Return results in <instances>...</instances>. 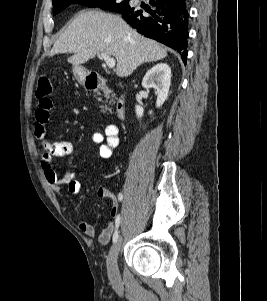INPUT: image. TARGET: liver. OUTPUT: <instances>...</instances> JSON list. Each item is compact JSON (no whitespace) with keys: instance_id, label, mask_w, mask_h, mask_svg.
Instances as JSON below:
<instances>
[{"instance_id":"liver-1","label":"liver","mask_w":267,"mask_h":301,"mask_svg":"<svg viewBox=\"0 0 267 301\" xmlns=\"http://www.w3.org/2000/svg\"><path fill=\"white\" fill-rule=\"evenodd\" d=\"M61 53H73L68 62L74 66L106 53L117 60L119 77H128L141 64L167 56L162 45L140 35L120 16L99 10L82 11L75 17L53 45L50 56Z\"/></svg>"}]
</instances>
